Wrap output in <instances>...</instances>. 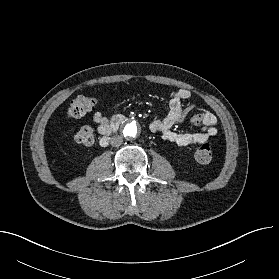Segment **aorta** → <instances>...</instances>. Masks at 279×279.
I'll use <instances>...</instances> for the list:
<instances>
[{
  "instance_id": "obj_1",
  "label": "aorta",
  "mask_w": 279,
  "mask_h": 279,
  "mask_svg": "<svg viewBox=\"0 0 279 279\" xmlns=\"http://www.w3.org/2000/svg\"><path fill=\"white\" fill-rule=\"evenodd\" d=\"M139 132V125L136 121H127L122 126V133L126 138H134Z\"/></svg>"
}]
</instances>
